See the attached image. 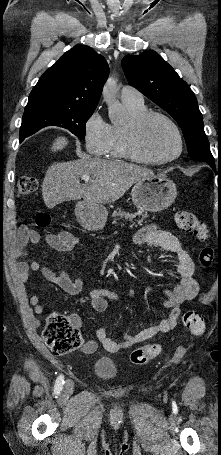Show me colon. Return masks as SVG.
I'll use <instances>...</instances> for the list:
<instances>
[{
	"label": "colon",
	"mask_w": 221,
	"mask_h": 455,
	"mask_svg": "<svg viewBox=\"0 0 221 455\" xmlns=\"http://www.w3.org/2000/svg\"><path fill=\"white\" fill-rule=\"evenodd\" d=\"M38 188V181L30 176H21L17 182V194L27 196L34 193ZM178 227L187 233L194 234L202 241L209 237L206 225L194 213L180 211L176 214ZM38 228H46L50 224V216L46 213H38L34 219ZM214 259L212 247H204L200 253V262L208 267ZM184 325L195 335H201L205 330V322L202 314L196 310H188L183 315ZM43 339L54 353H67L75 350L82 344V336L71 318L61 314H51L43 331ZM161 352V345L154 343L135 349L131 353V361L137 365H143L155 358Z\"/></svg>",
	"instance_id": "5ec220e1"
}]
</instances>
